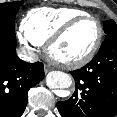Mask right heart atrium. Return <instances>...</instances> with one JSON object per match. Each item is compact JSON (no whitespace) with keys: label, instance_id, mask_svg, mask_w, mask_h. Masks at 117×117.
<instances>
[{"label":"right heart atrium","instance_id":"d8ad5b80","mask_svg":"<svg viewBox=\"0 0 117 117\" xmlns=\"http://www.w3.org/2000/svg\"><path fill=\"white\" fill-rule=\"evenodd\" d=\"M18 37L26 47L30 48L31 42L27 38L22 37L20 33H18Z\"/></svg>","mask_w":117,"mask_h":117}]
</instances>
